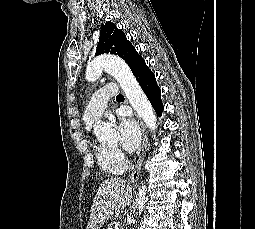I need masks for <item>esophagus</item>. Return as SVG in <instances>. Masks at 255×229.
Here are the masks:
<instances>
[{"label": "esophagus", "mask_w": 255, "mask_h": 229, "mask_svg": "<svg viewBox=\"0 0 255 229\" xmlns=\"http://www.w3.org/2000/svg\"><path fill=\"white\" fill-rule=\"evenodd\" d=\"M138 123H139V126L142 131V146H141V153H140L139 159L137 161V164L135 166V169L129 175V178H128V181L130 183L136 182L139 178L140 169H141L142 162L144 160V156H145L146 149H147V142H148V135H147V131H146L144 123L142 122L141 119H138Z\"/></svg>", "instance_id": "esophagus-1"}]
</instances>
